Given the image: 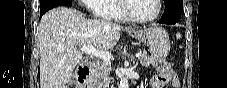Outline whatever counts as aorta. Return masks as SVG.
Wrapping results in <instances>:
<instances>
[{"mask_svg":"<svg viewBox=\"0 0 227 88\" xmlns=\"http://www.w3.org/2000/svg\"><path fill=\"white\" fill-rule=\"evenodd\" d=\"M128 79L126 77L121 78L119 88H128Z\"/></svg>","mask_w":227,"mask_h":88,"instance_id":"762f6f07","label":"aorta"}]
</instances>
